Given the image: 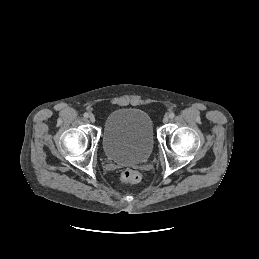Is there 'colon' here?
I'll return each instance as SVG.
<instances>
[{
	"label": "colon",
	"mask_w": 259,
	"mask_h": 259,
	"mask_svg": "<svg viewBox=\"0 0 259 259\" xmlns=\"http://www.w3.org/2000/svg\"><path fill=\"white\" fill-rule=\"evenodd\" d=\"M121 181L123 183H138L141 180V174L134 169H126L122 172Z\"/></svg>",
	"instance_id": "1"
}]
</instances>
